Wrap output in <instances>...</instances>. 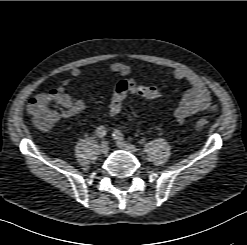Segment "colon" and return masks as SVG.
<instances>
[{"mask_svg": "<svg viewBox=\"0 0 247 245\" xmlns=\"http://www.w3.org/2000/svg\"><path fill=\"white\" fill-rule=\"evenodd\" d=\"M129 94H135L145 99H156L161 92L158 87L139 84L132 79L120 80L114 88L108 113L111 117L119 114L124 101ZM66 100L60 95L41 94L29 101L28 112L34 124L42 130L50 129L64 114ZM207 121L200 118L196 121V128L203 129Z\"/></svg>", "mask_w": 247, "mask_h": 245, "instance_id": "1", "label": "colon"}]
</instances>
